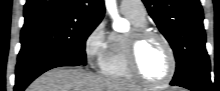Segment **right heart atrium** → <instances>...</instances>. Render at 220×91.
Here are the masks:
<instances>
[{
  "mask_svg": "<svg viewBox=\"0 0 220 91\" xmlns=\"http://www.w3.org/2000/svg\"><path fill=\"white\" fill-rule=\"evenodd\" d=\"M110 38L104 22L98 23L86 36L84 54L91 67H102L109 51Z\"/></svg>",
  "mask_w": 220,
  "mask_h": 91,
  "instance_id": "right-heart-atrium-1",
  "label": "right heart atrium"
}]
</instances>
